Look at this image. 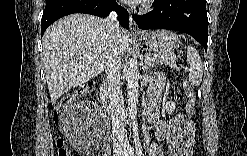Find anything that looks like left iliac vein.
I'll return each mask as SVG.
<instances>
[{"instance_id":"obj_1","label":"left iliac vein","mask_w":247,"mask_h":156,"mask_svg":"<svg viewBox=\"0 0 247 156\" xmlns=\"http://www.w3.org/2000/svg\"><path fill=\"white\" fill-rule=\"evenodd\" d=\"M122 152H123V155H125V156H133L134 155L133 148L131 147V145L129 143L124 145Z\"/></svg>"}]
</instances>
